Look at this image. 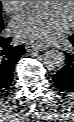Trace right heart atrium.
Listing matches in <instances>:
<instances>
[{
    "label": "right heart atrium",
    "mask_w": 74,
    "mask_h": 122,
    "mask_svg": "<svg viewBox=\"0 0 74 122\" xmlns=\"http://www.w3.org/2000/svg\"><path fill=\"white\" fill-rule=\"evenodd\" d=\"M1 3L4 10L10 15L17 14L24 5V1H1Z\"/></svg>",
    "instance_id": "1"
}]
</instances>
